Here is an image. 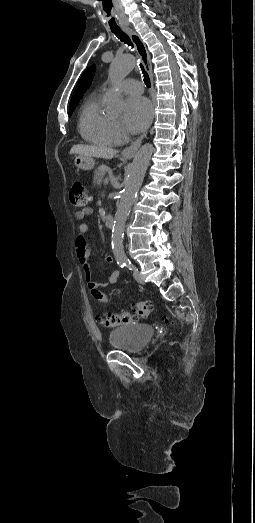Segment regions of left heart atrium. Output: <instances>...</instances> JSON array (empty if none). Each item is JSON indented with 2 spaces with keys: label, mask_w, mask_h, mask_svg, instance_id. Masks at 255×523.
<instances>
[{
  "label": "left heart atrium",
  "mask_w": 255,
  "mask_h": 523,
  "mask_svg": "<svg viewBox=\"0 0 255 523\" xmlns=\"http://www.w3.org/2000/svg\"><path fill=\"white\" fill-rule=\"evenodd\" d=\"M153 115L151 102L142 96L137 100L128 99L124 106V123L132 132L144 129Z\"/></svg>",
  "instance_id": "1"
}]
</instances>
